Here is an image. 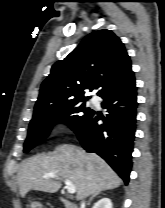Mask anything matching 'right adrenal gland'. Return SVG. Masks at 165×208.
<instances>
[{
    "mask_svg": "<svg viewBox=\"0 0 165 208\" xmlns=\"http://www.w3.org/2000/svg\"><path fill=\"white\" fill-rule=\"evenodd\" d=\"M102 193H103V192H98V193H95L94 195H92V197H90V199H89L87 205H90V204H91V201L93 200V198L96 197V196L99 195V194H102Z\"/></svg>",
    "mask_w": 165,
    "mask_h": 208,
    "instance_id": "obj_1",
    "label": "right adrenal gland"
}]
</instances>
